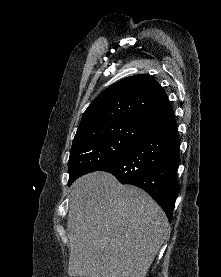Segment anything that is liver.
<instances>
[{
	"label": "liver",
	"mask_w": 221,
	"mask_h": 277,
	"mask_svg": "<svg viewBox=\"0 0 221 277\" xmlns=\"http://www.w3.org/2000/svg\"><path fill=\"white\" fill-rule=\"evenodd\" d=\"M69 199V276L145 277L170 232L155 200L100 171L78 178Z\"/></svg>",
	"instance_id": "obj_1"
}]
</instances>
